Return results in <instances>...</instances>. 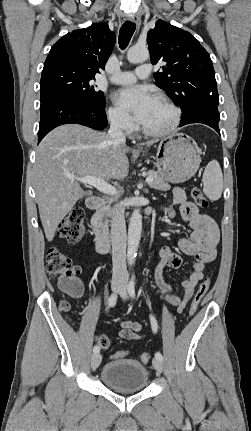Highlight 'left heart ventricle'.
Returning <instances> with one entry per match:
<instances>
[{
  "mask_svg": "<svg viewBox=\"0 0 251 431\" xmlns=\"http://www.w3.org/2000/svg\"><path fill=\"white\" fill-rule=\"evenodd\" d=\"M172 119V111L159 100L142 125L149 130L165 128Z\"/></svg>",
  "mask_w": 251,
  "mask_h": 431,
  "instance_id": "obj_1",
  "label": "left heart ventricle"
}]
</instances>
